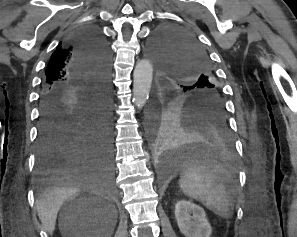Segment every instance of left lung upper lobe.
Wrapping results in <instances>:
<instances>
[{
    "label": "left lung upper lobe",
    "instance_id": "5c2ea615",
    "mask_svg": "<svg viewBox=\"0 0 297 237\" xmlns=\"http://www.w3.org/2000/svg\"><path fill=\"white\" fill-rule=\"evenodd\" d=\"M149 52L159 68L161 91L174 104L210 101L226 112L206 51L192 35L172 26L155 31Z\"/></svg>",
    "mask_w": 297,
    "mask_h": 237
}]
</instances>
